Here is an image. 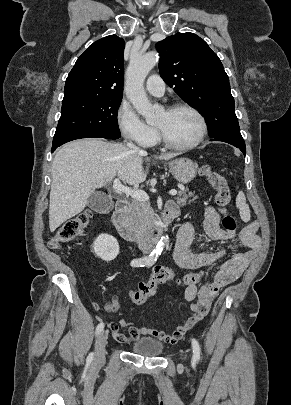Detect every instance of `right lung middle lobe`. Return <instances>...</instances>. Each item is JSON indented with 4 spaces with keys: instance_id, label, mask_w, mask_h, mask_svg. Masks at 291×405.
Wrapping results in <instances>:
<instances>
[{
    "instance_id": "dd1d6c3e",
    "label": "right lung middle lobe",
    "mask_w": 291,
    "mask_h": 405,
    "mask_svg": "<svg viewBox=\"0 0 291 405\" xmlns=\"http://www.w3.org/2000/svg\"><path fill=\"white\" fill-rule=\"evenodd\" d=\"M121 100L110 97L63 102L52 148L80 138H120L117 111Z\"/></svg>"
}]
</instances>
